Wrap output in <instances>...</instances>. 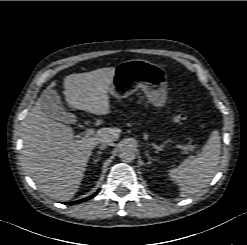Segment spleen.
Listing matches in <instances>:
<instances>
[{"mask_svg": "<svg viewBox=\"0 0 247 245\" xmlns=\"http://www.w3.org/2000/svg\"><path fill=\"white\" fill-rule=\"evenodd\" d=\"M221 154L218 131H213L201 153L181 162L169 170V176L181 190V196L193 195L207 187L215 176Z\"/></svg>", "mask_w": 247, "mask_h": 245, "instance_id": "3e777b00", "label": "spleen"}]
</instances>
